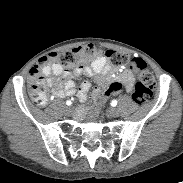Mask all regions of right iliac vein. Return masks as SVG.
Instances as JSON below:
<instances>
[{
    "label": "right iliac vein",
    "instance_id": "63e3f726",
    "mask_svg": "<svg viewBox=\"0 0 183 183\" xmlns=\"http://www.w3.org/2000/svg\"><path fill=\"white\" fill-rule=\"evenodd\" d=\"M71 109H72L71 107H69V108L67 107V111H68V110H71Z\"/></svg>",
    "mask_w": 183,
    "mask_h": 183
}]
</instances>
